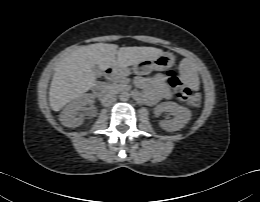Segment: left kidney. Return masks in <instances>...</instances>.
Returning a JSON list of instances; mask_svg holds the SVG:
<instances>
[{
  "label": "left kidney",
  "mask_w": 260,
  "mask_h": 202,
  "mask_svg": "<svg viewBox=\"0 0 260 202\" xmlns=\"http://www.w3.org/2000/svg\"><path fill=\"white\" fill-rule=\"evenodd\" d=\"M169 112L173 115L172 120L161 121L160 126L166 131L173 132L183 128L191 119V111L175 102H163L155 107V114L160 115L162 112Z\"/></svg>",
  "instance_id": "5707ae66"
}]
</instances>
